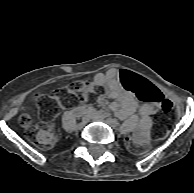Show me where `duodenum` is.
Returning a JSON list of instances; mask_svg holds the SVG:
<instances>
[{"mask_svg": "<svg viewBox=\"0 0 194 193\" xmlns=\"http://www.w3.org/2000/svg\"><path fill=\"white\" fill-rule=\"evenodd\" d=\"M74 113L77 114V115H86V116L96 115V116L102 117L101 114L93 111L92 109H90L88 107H85V108L76 107L74 109ZM93 118H96V117H93Z\"/></svg>", "mask_w": 194, "mask_h": 193, "instance_id": "duodenum-1", "label": "duodenum"}]
</instances>
